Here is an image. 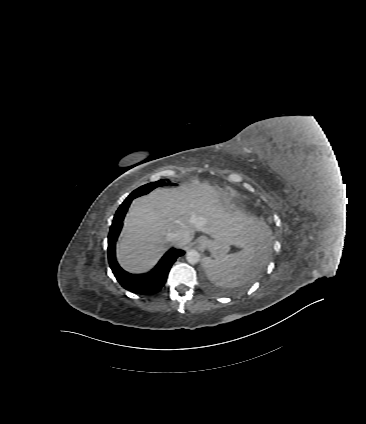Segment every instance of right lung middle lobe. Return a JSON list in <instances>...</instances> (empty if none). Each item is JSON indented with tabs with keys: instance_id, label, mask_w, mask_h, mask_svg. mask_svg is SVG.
<instances>
[{
	"instance_id": "obj_1",
	"label": "right lung middle lobe",
	"mask_w": 366,
	"mask_h": 424,
	"mask_svg": "<svg viewBox=\"0 0 366 424\" xmlns=\"http://www.w3.org/2000/svg\"><path fill=\"white\" fill-rule=\"evenodd\" d=\"M168 184L176 185L174 183H165L164 180H159V181L152 182V183H149V184H146V185L139 187L138 189L134 190L128 197L136 198V197H139L141 195H145V194L149 193L151 190H153L156 187L164 186V185H168Z\"/></svg>"
}]
</instances>
